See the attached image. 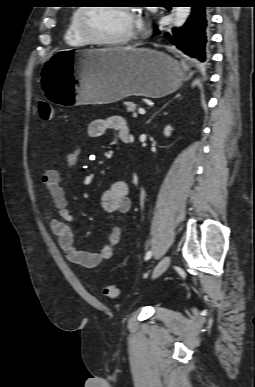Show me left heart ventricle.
Here are the masks:
<instances>
[{"label": "left heart ventricle", "instance_id": "b2bd125f", "mask_svg": "<svg viewBox=\"0 0 255 387\" xmlns=\"http://www.w3.org/2000/svg\"><path fill=\"white\" fill-rule=\"evenodd\" d=\"M92 33L102 39H120L135 30V18L120 7H96L87 15Z\"/></svg>", "mask_w": 255, "mask_h": 387}]
</instances>
